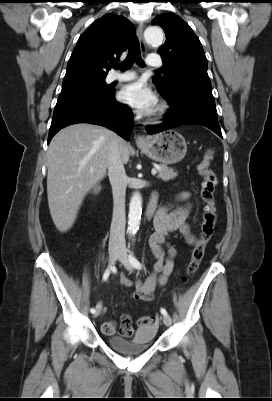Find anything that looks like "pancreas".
<instances>
[{
    "label": "pancreas",
    "instance_id": "cf45deb5",
    "mask_svg": "<svg viewBox=\"0 0 272 401\" xmlns=\"http://www.w3.org/2000/svg\"><path fill=\"white\" fill-rule=\"evenodd\" d=\"M177 176V172L174 169L167 167L166 165H160V169L158 170V178L163 181H169L174 179Z\"/></svg>",
    "mask_w": 272,
    "mask_h": 401
}]
</instances>
